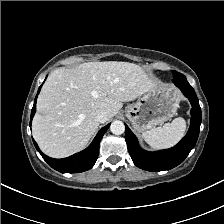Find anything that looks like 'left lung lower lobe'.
Instances as JSON below:
<instances>
[{"label":"left lung lower lobe","mask_w":224,"mask_h":224,"mask_svg":"<svg viewBox=\"0 0 224 224\" xmlns=\"http://www.w3.org/2000/svg\"><path fill=\"white\" fill-rule=\"evenodd\" d=\"M173 83L189 98L192 105L191 124L186 136L173 148L156 152H147L140 148L135 135L125 125V139L134 164L147 171L170 170L182 163L194 148L201 124V108L196 93L186 77L180 74Z\"/></svg>","instance_id":"obj_1"}]
</instances>
